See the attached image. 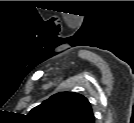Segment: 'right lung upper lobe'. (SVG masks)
<instances>
[{"label": "right lung upper lobe", "instance_id": "obj_1", "mask_svg": "<svg viewBox=\"0 0 134 123\" xmlns=\"http://www.w3.org/2000/svg\"><path fill=\"white\" fill-rule=\"evenodd\" d=\"M27 118L34 123H94L89 101L74 92L54 94L33 108Z\"/></svg>", "mask_w": 134, "mask_h": 123}]
</instances>
